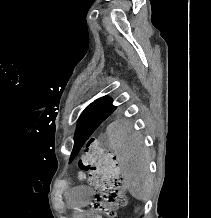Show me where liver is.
<instances>
[{
	"label": "liver",
	"mask_w": 211,
	"mask_h": 218,
	"mask_svg": "<svg viewBox=\"0 0 211 218\" xmlns=\"http://www.w3.org/2000/svg\"><path fill=\"white\" fill-rule=\"evenodd\" d=\"M110 148L118 160L124 186L136 200L148 198L153 182L148 172L149 154L139 132L128 120H115L106 128Z\"/></svg>",
	"instance_id": "obj_1"
}]
</instances>
